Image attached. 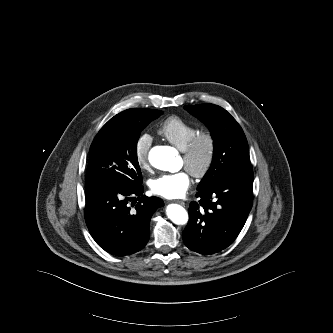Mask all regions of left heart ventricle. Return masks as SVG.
<instances>
[{"label": "left heart ventricle", "instance_id": "obj_1", "mask_svg": "<svg viewBox=\"0 0 333 333\" xmlns=\"http://www.w3.org/2000/svg\"><path fill=\"white\" fill-rule=\"evenodd\" d=\"M201 159H202V156H201V155L198 156V157H197V163H199V162L201 161Z\"/></svg>", "mask_w": 333, "mask_h": 333}]
</instances>
